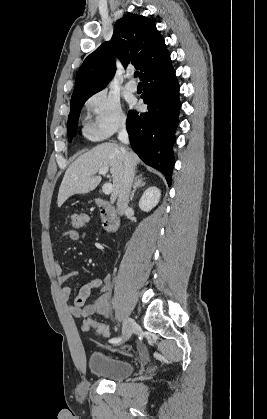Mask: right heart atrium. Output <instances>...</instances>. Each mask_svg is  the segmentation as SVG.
Masks as SVG:
<instances>
[{"label": "right heart atrium", "instance_id": "right-heart-atrium-1", "mask_svg": "<svg viewBox=\"0 0 267 419\" xmlns=\"http://www.w3.org/2000/svg\"><path fill=\"white\" fill-rule=\"evenodd\" d=\"M86 108L92 116L86 130L91 139H106L126 124V116L119 99L106 90L90 96L86 101Z\"/></svg>", "mask_w": 267, "mask_h": 419}]
</instances>
